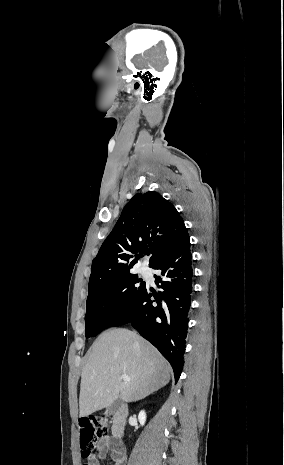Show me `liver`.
Wrapping results in <instances>:
<instances>
[{"mask_svg": "<svg viewBox=\"0 0 284 465\" xmlns=\"http://www.w3.org/2000/svg\"><path fill=\"white\" fill-rule=\"evenodd\" d=\"M171 367L142 337L127 329H109L99 335L83 367L79 417L110 407L116 399L125 403L145 399L170 381ZM128 375L130 383H122Z\"/></svg>", "mask_w": 284, "mask_h": 465, "instance_id": "obj_1", "label": "liver"}]
</instances>
